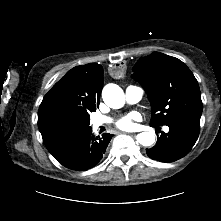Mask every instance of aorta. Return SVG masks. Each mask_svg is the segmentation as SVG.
Instances as JSON below:
<instances>
[{"label": "aorta", "mask_w": 221, "mask_h": 221, "mask_svg": "<svg viewBox=\"0 0 221 221\" xmlns=\"http://www.w3.org/2000/svg\"><path fill=\"white\" fill-rule=\"evenodd\" d=\"M103 101L113 109H119L125 104L123 90L116 84H107L102 91ZM137 141L143 146H151L155 142V135L152 132H142L137 135Z\"/></svg>", "instance_id": "obj_1"}]
</instances>
